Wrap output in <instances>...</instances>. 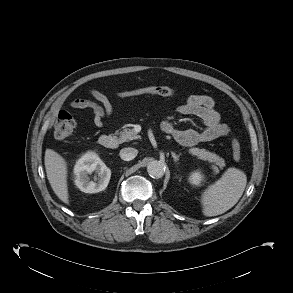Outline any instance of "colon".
<instances>
[{
  "label": "colon",
  "mask_w": 293,
  "mask_h": 293,
  "mask_svg": "<svg viewBox=\"0 0 293 293\" xmlns=\"http://www.w3.org/2000/svg\"><path fill=\"white\" fill-rule=\"evenodd\" d=\"M176 93L175 89L168 86H148L135 88L120 92V96H139V95H159L172 96ZM76 122L73 116L66 112L60 111L54 123V136L60 141H68L73 134ZM233 158L236 161L241 159V145L236 137L231 140Z\"/></svg>",
  "instance_id": "5ec220e1"
}]
</instances>
